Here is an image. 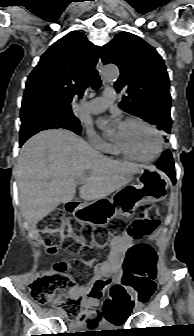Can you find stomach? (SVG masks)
Wrapping results in <instances>:
<instances>
[{"label":"stomach","instance_id":"0dacf381","mask_svg":"<svg viewBox=\"0 0 194 336\" xmlns=\"http://www.w3.org/2000/svg\"><path fill=\"white\" fill-rule=\"evenodd\" d=\"M136 181L137 184L120 190L115 199L79 206L73 212L75 219L82 224L104 226L120 212L129 215L141 204L158 202L166 198L168 182L155 167L142 166ZM117 205L121 206L120 210H117Z\"/></svg>","mask_w":194,"mask_h":336}]
</instances>
